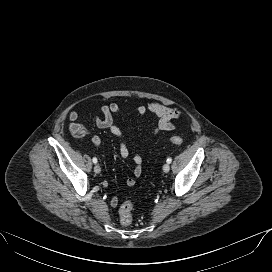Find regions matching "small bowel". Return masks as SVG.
I'll list each match as a JSON object with an SVG mask.
<instances>
[{
  "instance_id": "c3829d8e",
  "label": "small bowel",
  "mask_w": 272,
  "mask_h": 272,
  "mask_svg": "<svg viewBox=\"0 0 272 272\" xmlns=\"http://www.w3.org/2000/svg\"><path fill=\"white\" fill-rule=\"evenodd\" d=\"M123 107L118 103H110L103 104L100 106V112L102 113V117H99L92 113L90 110H86L85 114L93 121V123L99 129L108 130L113 136H115L119 140V154L121 158L126 159L129 157V149L127 144L124 141L123 131L115 125L113 121V114L123 112ZM137 113L140 115H145L147 113H152L156 116L157 122L152 130L148 141H151L155 136H157L162 131H170L175 129V124L172 122L174 119L179 118L180 111L176 108L168 107L159 102H151L147 105H139L136 109ZM79 119V113L76 111H72L69 114V120L74 122ZM92 144L96 147L102 145L101 137L95 135L91 139ZM133 161L135 164L133 174L135 178H138L142 174V163L143 159L140 154H135L133 157ZM135 178L129 177L126 179V185L132 187L135 185ZM106 185V183H105ZM118 198L113 197L110 201L112 207H116L118 205Z\"/></svg>"
}]
</instances>
